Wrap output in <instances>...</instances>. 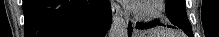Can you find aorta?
Returning a JSON list of instances; mask_svg holds the SVG:
<instances>
[{
  "instance_id": "762f6f07",
  "label": "aorta",
  "mask_w": 219,
  "mask_h": 37,
  "mask_svg": "<svg viewBox=\"0 0 219 37\" xmlns=\"http://www.w3.org/2000/svg\"><path fill=\"white\" fill-rule=\"evenodd\" d=\"M109 37H127L126 22L122 17H117L109 30Z\"/></svg>"
}]
</instances>
